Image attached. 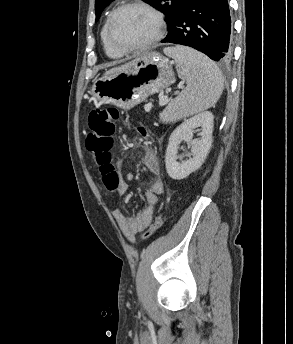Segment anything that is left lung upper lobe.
Instances as JSON below:
<instances>
[{"label":"left lung upper lobe","instance_id":"obj_1","mask_svg":"<svg viewBox=\"0 0 293 344\" xmlns=\"http://www.w3.org/2000/svg\"><path fill=\"white\" fill-rule=\"evenodd\" d=\"M114 0H95L96 21L99 19L102 11ZM154 8L163 12L166 16L168 30L171 29L177 16L182 0H143Z\"/></svg>","mask_w":293,"mask_h":344}]
</instances>
